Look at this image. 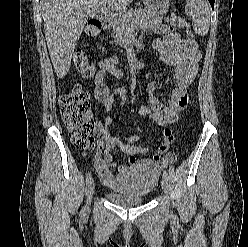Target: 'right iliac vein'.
<instances>
[{
	"label": "right iliac vein",
	"instance_id": "63e3f726",
	"mask_svg": "<svg viewBox=\"0 0 248 247\" xmlns=\"http://www.w3.org/2000/svg\"><path fill=\"white\" fill-rule=\"evenodd\" d=\"M94 192H95V183L93 180H91V182L88 184L87 187V206L85 207V211L88 209V206L90 204Z\"/></svg>",
	"mask_w": 248,
	"mask_h": 247
}]
</instances>
